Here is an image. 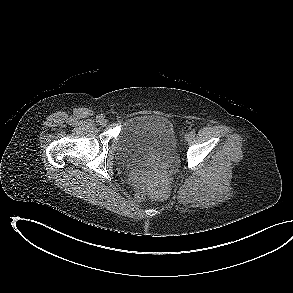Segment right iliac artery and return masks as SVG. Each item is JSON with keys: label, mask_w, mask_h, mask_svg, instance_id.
I'll list each match as a JSON object with an SVG mask.
<instances>
[{"label": "right iliac artery", "mask_w": 293, "mask_h": 293, "mask_svg": "<svg viewBox=\"0 0 293 293\" xmlns=\"http://www.w3.org/2000/svg\"><path fill=\"white\" fill-rule=\"evenodd\" d=\"M102 119H103V117L101 115H99V116L96 117V121L97 122H100Z\"/></svg>", "instance_id": "right-iliac-artery-1"}]
</instances>
